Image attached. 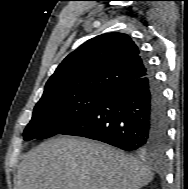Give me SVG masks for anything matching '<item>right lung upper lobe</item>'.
<instances>
[{
    "mask_svg": "<svg viewBox=\"0 0 188 189\" xmlns=\"http://www.w3.org/2000/svg\"><path fill=\"white\" fill-rule=\"evenodd\" d=\"M146 72L140 51L128 35L106 33L70 53L47 81L42 97L94 88L114 90Z\"/></svg>",
    "mask_w": 188,
    "mask_h": 189,
    "instance_id": "obj_1",
    "label": "right lung upper lobe"
}]
</instances>
